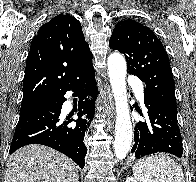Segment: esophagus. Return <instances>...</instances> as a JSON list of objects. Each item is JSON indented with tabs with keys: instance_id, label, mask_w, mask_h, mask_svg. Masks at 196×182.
I'll return each mask as SVG.
<instances>
[{
	"instance_id": "obj_1",
	"label": "esophagus",
	"mask_w": 196,
	"mask_h": 182,
	"mask_svg": "<svg viewBox=\"0 0 196 182\" xmlns=\"http://www.w3.org/2000/svg\"><path fill=\"white\" fill-rule=\"evenodd\" d=\"M104 106H105V113L113 117L114 115V102L111 96V93L109 91H106V96L104 97L103 100Z\"/></svg>"
}]
</instances>
